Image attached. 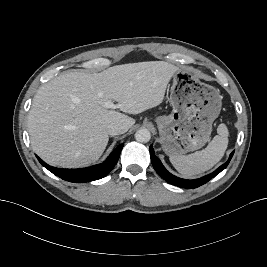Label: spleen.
<instances>
[{"label": "spleen", "mask_w": 267, "mask_h": 267, "mask_svg": "<svg viewBox=\"0 0 267 267\" xmlns=\"http://www.w3.org/2000/svg\"><path fill=\"white\" fill-rule=\"evenodd\" d=\"M217 133L208 146L189 155H171L170 162L184 177H192L211 169L224 156L228 146V128L220 124Z\"/></svg>", "instance_id": "spleen-1"}]
</instances>
